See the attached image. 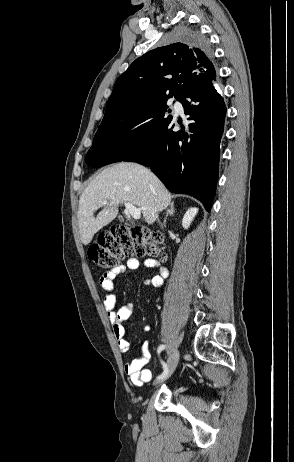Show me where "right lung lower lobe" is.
I'll use <instances>...</instances> for the list:
<instances>
[{"label":"right lung lower lobe","instance_id":"obj_1","mask_svg":"<svg viewBox=\"0 0 294 462\" xmlns=\"http://www.w3.org/2000/svg\"><path fill=\"white\" fill-rule=\"evenodd\" d=\"M179 101L189 115L182 130L174 132L175 124L170 120L122 161L150 167L169 190L196 197L210 211L226 113L223 98L217 92L216 77L192 87ZM87 164L101 167L104 162L97 157Z\"/></svg>","mask_w":294,"mask_h":462}]
</instances>
